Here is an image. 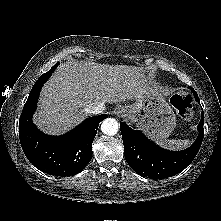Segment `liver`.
<instances>
[{"instance_id":"1","label":"liver","mask_w":221,"mask_h":221,"mask_svg":"<svg viewBox=\"0 0 221 221\" xmlns=\"http://www.w3.org/2000/svg\"><path fill=\"white\" fill-rule=\"evenodd\" d=\"M147 89L140 67L68 61L44 84L33 122L47 134H63L87 117L88 106L136 100Z\"/></svg>"}]
</instances>
